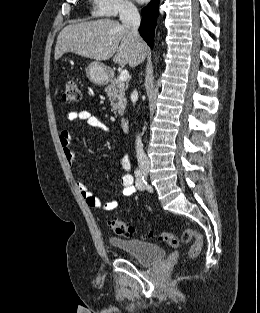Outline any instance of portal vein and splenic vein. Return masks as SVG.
Instances as JSON below:
<instances>
[{"label":"portal vein and splenic vein","mask_w":260,"mask_h":313,"mask_svg":"<svg viewBox=\"0 0 260 313\" xmlns=\"http://www.w3.org/2000/svg\"><path fill=\"white\" fill-rule=\"evenodd\" d=\"M129 78V72L127 70H123L120 73L119 80L121 82H125Z\"/></svg>","instance_id":"portal-vein-and-splenic-vein-1"}]
</instances>
